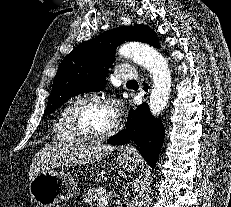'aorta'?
Masks as SVG:
<instances>
[{"label": "aorta", "instance_id": "obj_1", "mask_svg": "<svg viewBox=\"0 0 231 207\" xmlns=\"http://www.w3.org/2000/svg\"><path fill=\"white\" fill-rule=\"evenodd\" d=\"M118 56L133 59L150 72L153 87L149 97V108L153 116H158L166 107L171 92V73L167 61L153 47L137 42L123 44L118 49ZM132 206L140 207L138 198Z\"/></svg>", "mask_w": 231, "mask_h": 207}]
</instances>
